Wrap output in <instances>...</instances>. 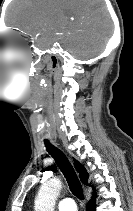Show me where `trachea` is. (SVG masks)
Returning a JSON list of instances; mask_svg holds the SVG:
<instances>
[{
    "instance_id": "obj_1",
    "label": "trachea",
    "mask_w": 133,
    "mask_h": 211,
    "mask_svg": "<svg viewBox=\"0 0 133 211\" xmlns=\"http://www.w3.org/2000/svg\"><path fill=\"white\" fill-rule=\"evenodd\" d=\"M45 146H46L49 154L56 161V163H57L58 167L60 168V170L62 171L64 177L66 178L71 192L77 198L82 200L83 199L82 185L78 179V176H77L72 164L68 160V158L65 156V154L61 150H59L56 147H54L53 145H51L49 143V141H45Z\"/></svg>"
}]
</instances>
